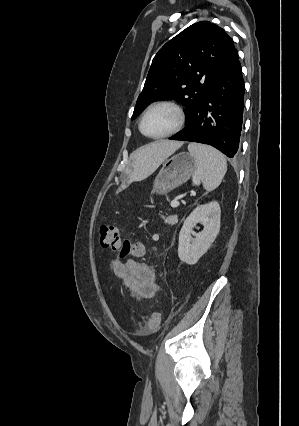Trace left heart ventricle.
<instances>
[{
    "instance_id": "obj_1",
    "label": "left heart ventricle",
    "mask_w": 299,
    "mask_h": 426,
    "mask_svg": "<svg viewBox=\"0 0 299 426\" xmlns=\"http://www.w3.org/2000/svg\"><path fill=\"white\" fill-rule=\"evenodd\" d=\"M177 114L170 107H157L146 116L143 129L151 136L164 134L175 127Z\"/></svg>"
}]
</instances>
